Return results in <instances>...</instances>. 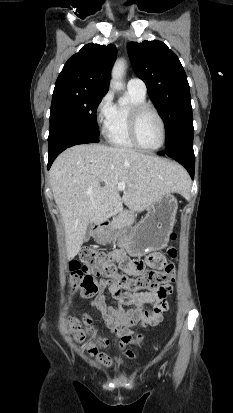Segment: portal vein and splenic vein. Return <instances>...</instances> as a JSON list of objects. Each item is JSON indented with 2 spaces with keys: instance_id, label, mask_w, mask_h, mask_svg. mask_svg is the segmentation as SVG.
<instances>
[{
  "instance_id": "portal-vein-and-splenic-vein-1",
  "label": "portal vein and splenic vein",
  "mask_w": 233,
  "mask_h": 413,
  "mask_svg": "<svg viewBox=\"0 0 233 413\" xmlns=\"http://www.w3.org/2000/svg\"><path fill=\"white\" fill-rule=\"evenodd\" d=\"M117 188H118L119 191H124L125 188H126V185H125L124 182H120V183L118 184Z\"/></svg>"
}]
</instances>
